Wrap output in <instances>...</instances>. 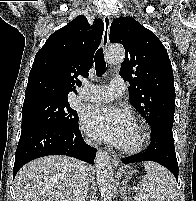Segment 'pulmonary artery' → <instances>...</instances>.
Here are the masks:
<instances>
[{"instance_id": "1", "label": "pulmonary artery", "mask_w": 196, "mask_h": 201, "mask_svg": "<svg viewBox=\"0 0 196 201\" xmlns=\"http://www.w3.org/2000/svg\"><path fill=\"white\" fill-rule=\"evenodd\" d=\"M125 90L124 81L121 79L111 80L109 85H87L80 92L79 97L91 102H109L120 96Z\"/></svg>"}]
</instances>
